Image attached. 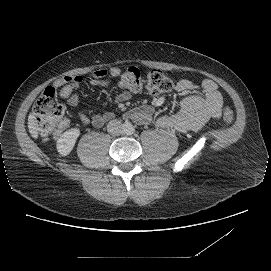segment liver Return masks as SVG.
I'll return each mask as SVG.
<instances>
[{"instance_id":"liver-1","label":"liver","mask_w":271,"mask_h":271,"mask_svg":"<svg viewBox=\"0 0 271 271\" xmlns=\"http://www.w3.org/2000/svg\"><path fill=\"white\" fill-rule=\"evenodd\" d=\"M28 127H29L31 135L36 138L38 136V131H37V126L34 122L33 115H30L28 119Z\"/></svg>"}]
</instances>
